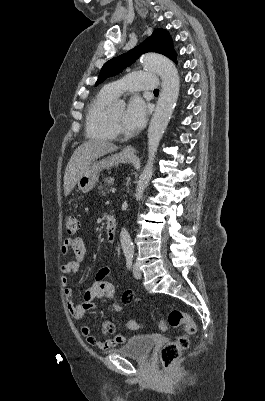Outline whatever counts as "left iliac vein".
Wrapping results in <instances>:
<instances>
[{
  "instance_id": "4c4485c4",
  "label": "left iliac vein",
  "mask_w": 265,
  "mask_h": 401,
  "mask_svg": "<svg viewBox=\"0 0 265 401\" xmlns=\"http://www.w3.org/2000/svg\"><path fill=\"white\" fill-rule=\"evenodd\" d=\"M133 274L136 279L141 278V272L135 264H133Z\"/></svg>"
}]
</instances>
